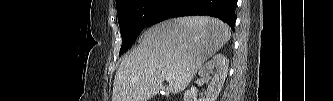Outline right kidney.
Segmentation results:
<instances>
[{
  "label": "right kidney",
  "mask_w": 333,
  "mask_h": 101,
  "mask_svg": "<svg viewBox=\"0 0 333 101\" xmlns=\"http://www.w3.org/2000/svg\"><path fill=\"white\" fill-rule=\"evenodd\" d=\"M228 59L222 54H216L211 60L203 65L199 70V76L205 81L209 82L207 93L204 101H216L219 93L223 87L224 81L228 73ZM216 70L215 75L212 77L210 74ZM197 91H186L184 93V101H195Z\"/></svg>",
  "instance_id": "obj_1"
}]
</instances>
